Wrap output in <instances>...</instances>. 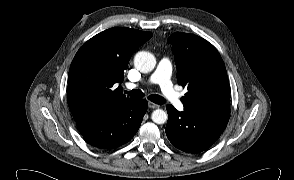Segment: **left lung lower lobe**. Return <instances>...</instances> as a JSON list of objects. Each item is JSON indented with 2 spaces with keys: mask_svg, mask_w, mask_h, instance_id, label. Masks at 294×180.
<instances>
[{
  "mask_svg": "<svg viewBox=\"0 0 294 180\" xmlns=\"http://www.w3.org/2000/svg\"><path fill=\"white\" fill-rule=\"evenodd\" d=\"M168 122L166 135L178 149L187 153H199L208 149L224 131L230 115L177 111L166 107Z\"/></svg>",
  "mask_w": 294,
  "mask_h": 180,
  "instance_id": "left-lung-lower-lobe-1",
  "label": "left lung lower lobe"
}]
</instances>
